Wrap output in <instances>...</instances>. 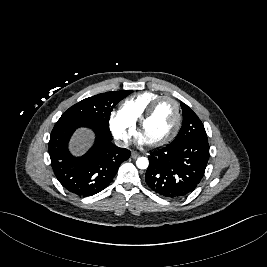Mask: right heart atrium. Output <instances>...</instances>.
<instances>
[{"label": "right heart atrium", "instance_id": "right-heart-atrium-1", "mask_svg": "<svg viewBox=\"0 0 267 267\" xmlns=\"http://www.w3.org/2000/svg\"><path fill=\"white\" fill-rule=\"evenodd\" d=\"M109 126L115 139L122 144H127L135 133V126L124 117L120 110L110 113Z\"/></svg>", "mask_w": 267, "mask_h": 267}]
</instances>
